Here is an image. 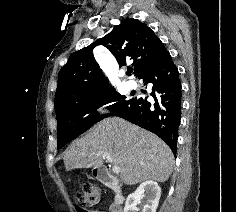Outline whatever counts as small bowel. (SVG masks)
Returning <instances> with one entry per match:
<instances>
[{"instance_id": "obj_1", "label": "small bowel", "mask_w": 236, "mask_h": 212, "mask_svg": "<svg viewBox=\"0 0 236 212\" xmlns=\"http://www.w3.org/2000/svg\"><path fill=\"white\" fill-rule=\"evenodd\" d=\"M96 212V211H95ZM110 212H120V209L116 206V205H113L111 206L110 208Z\"/></svg>"}]
</instances>
